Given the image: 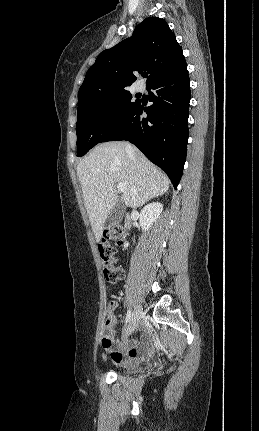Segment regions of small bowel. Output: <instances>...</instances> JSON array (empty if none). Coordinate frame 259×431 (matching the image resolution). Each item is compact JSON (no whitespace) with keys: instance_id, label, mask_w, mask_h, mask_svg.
<instances>
[{"instance_id":"obj_1","label":"small bowel","mask_w":259,"mask_h":431,"mask_svg":"<svg viewBox=\"0 0 259 431\" xmlns=\"http://www.w3.org/2000/svg\"><path fill=\"white\" fill-rule=\"evenodd\" d=\"M118 303L112 301L107 307V323H106V333L110 339L109 345H103L104 351L110 353L112 361L118 365H129L140 358H143L150 349L151 336L150 332L146 327H141V339L140 341H129V342H119L114 339L113 326L115 324V318L113 316V311L117 307Z\"/></svg>"}]
</instances>
